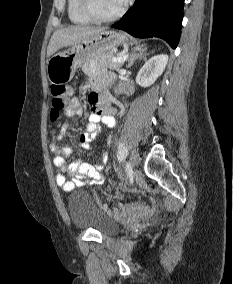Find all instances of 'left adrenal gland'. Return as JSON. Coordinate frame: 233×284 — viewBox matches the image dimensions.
Wrapping results in <instances>:
<instances>
[{"label":"left adrenal gland","instance_id":"a2214340","mask_svg":"<svg viewBox=\"0 0 233 284\" xmlns=\"http://www.w3.org/2000/svg\"><path fill=\"white\" fill-rule=\"evenodd\" d=\"M146 55H147V53H144V52H139V53L133 52L128 59L127 68H130L137 59H142Z\"/></svg>","mask_w":233,"mask_h":284}]
</instances>
